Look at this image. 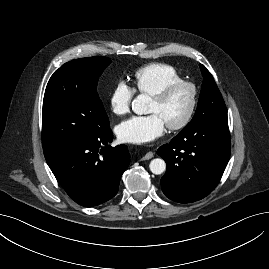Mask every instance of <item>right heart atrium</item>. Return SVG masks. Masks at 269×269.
<instances>
[{
    "instance_id": "obj_1",
    "label": "right heart atrium",
    "mask_w": 269,
    "mask_h": 269,
    "mask_svg": "<svg viewBox=\"0 0 269 269\" xmlns=\"http://www.w3.org/2000/svg\"><path fill=\"white\" fill-rule=\"evenodd\" d=\"M134 89L125 81H118L109 95V106L116 115H124L129 111Z\"/></svg>"
}]
</instances>
